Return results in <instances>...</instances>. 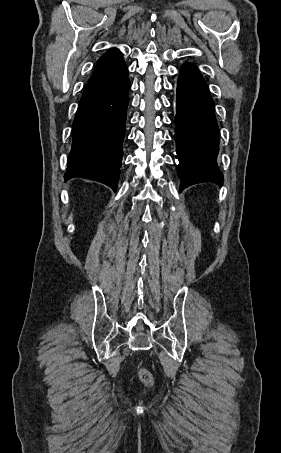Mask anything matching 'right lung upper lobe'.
Wrapping results in <instances>:
<instances>
[{
  "instance_id": "right-lung-upper-lobe-1",
  "label": "right lung upper lobe",
  "mask_w": 281,
  "mask_h": 453,
  "mask_svg": "<svg viewBox=\"0 0 281 453\" xmlns=\"http://www.w3.org/2000/svg\"><path fill=\"white\" fill-rule=\"evenodd\" d=\"M119 51L116 50V49H110L109 51H107L99 60L97 63L103 61V60H106L108 58H110L111 56L117 54Z\"/></svg>"
}]
</instances>
